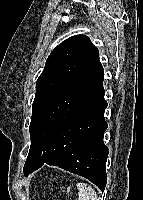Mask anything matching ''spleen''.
Here are the masks:
<instances>
[{"mask_svg": "<svg viewBox=\"0 0 143 200\" xmlns=\"http://www.w3.org/2000/svg\"><path fill=\"white\" fill-rule=\"evenodd\" d=\"M78 200H100L95 189L87 183H78Z\"/></svg>", "mask_w": 143, "mask_h": 200, "instance_id": "1", "label": "spleen"}]
</instances>
